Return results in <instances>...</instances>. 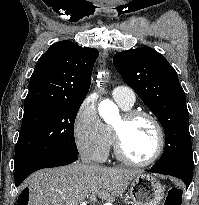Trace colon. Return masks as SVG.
<instances>
[{"label":"colon","instance_id":"obj_1","mask_svg":"<svg viewBox=\"0 0 199 205\" xmlns=\"http://www.w3.org/2000/svg\"><path fill=\"white\" fill-rule=\"evenodd\" d=\"M183 190L180 187H171L167 191L163 205H182Z\"/></svg>","mask_w":199,"mask_h":205}]
</instances>
